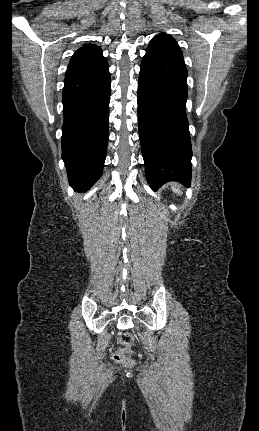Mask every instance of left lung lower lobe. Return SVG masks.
Masks as SVG:
<instances>
[{"instance_id": "0a47b994", "label": "left lung lower lobe", "mask_w": 259, "mask_h": 431, "mask_svg": "<svg viewBox=\"0 0 259 431\" xmlns=\"http://www.w3.org/2000/svg\"><path fill=\"white\" fill-rule=\"evenodd\" d=\"M187 75L181 50L152 39L139 73L138 124L145 174L154 191L168 181L191 182Z\"/></svg>"}]
</instances>
